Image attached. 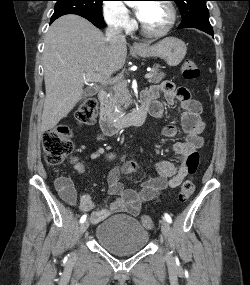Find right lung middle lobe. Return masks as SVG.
I'll return each mask as SVG.
<instances>
[{
    "instance_id": "dd1d6c3e",
    "label": "right lung middle lobe",
    "mask_w": 250,
    "mask_h": 285,
    "mask_svg": "<svg viewBox=\"0 0 250 285\" xmlns=\"http://www.w3.org/2000/svg\"><path fill=\"white\" fill-rule=\"evenodd\" d=\"M56 5L51 20L66 14H76L84 18L104 21L102 15L103 0H55Z\"/></svg>"
}]
</instances>
